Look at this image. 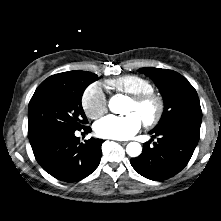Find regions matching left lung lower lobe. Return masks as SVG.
Returning <instances> with one entry per match:
<instances>
[{
    "label": "left lung lower lobe",
    "mask_w": 221,
    "mask_h": 221,
    "mask_svg": "<svg viewBox=\"0 0 221 221\" xmlns=\"http://www.w3.org/2000/svg\"><path fill=\"white\" fill-rule=\"evenodd\" d=\"M201 124L177 120L152 130L153 145L144 143L140 156L132 158V167L142 176L164 181L179 173L189 162L200 137Z\"/></svg>",
    "instance_id": "0a47b994"
}]
</instances>
